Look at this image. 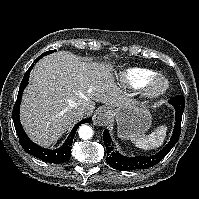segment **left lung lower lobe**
Wrapping results in <instances>:
<instances>
[{
	"instance_id": "left-lung-lower-lobe-1",
	"label": "left lung lower lobe",
	"mask_w": 199,
	"mask_h": 199,
	"mask_svg": "<svg viewBox=\"0 0 199 199\" xmlns=\"http://www.w3.org/2000/svg\"><path fill=\"white\" fill-rule=\"evenodd\" d=\"M170 104L174 106L176 111L173 134L166 147L153 156L124 157L119 152L115 151L109 132L107 130L103 132V140L107 149L106 161L112 168L121 171L148 169L159 163L169 153L172 147L177 143L181 133V120L185 108V100L182 95H179L171 98Z\"/></svg>"
}]
</instances>
